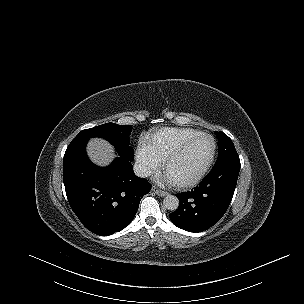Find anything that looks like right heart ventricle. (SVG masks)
Segmentation results:
<instances>
[{"instance_id": "right-heart-ventricle-1", "label": "right heart ventricle", "mask_w": 304, "mask_h": 304, "mask_svg": "<svg viewBox=\"0 0 304 304\" xmlns=\"http://www.w3.org/2000/svg\"><path fill=\"white\" fill-rule=\"evenodd\" d=\"M200 133V131L192 128L164 127L152 132L149 138V146L160 159H164L180 145Z\"/></svg>"}]
</instances>
